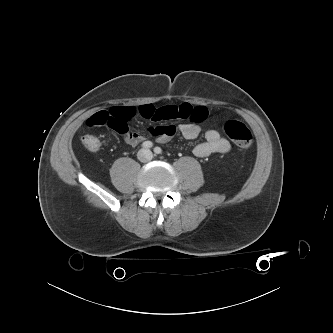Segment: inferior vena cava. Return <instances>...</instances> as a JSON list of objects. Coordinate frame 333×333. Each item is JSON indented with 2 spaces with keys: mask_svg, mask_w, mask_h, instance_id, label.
<instances>
[{
  "mask_svg": "<svg viewBox=\"0 0 333 333\" xmlns=\"http://www.w3.org/2000/svg\"><path fill=\"white\" fill-rule=\"evenodd\" d=\"M148 151V154L150 155L149 157H152V152L151 151H149V150H147ZM142 161H147V159H142Z\"/></svg>",
  "mask_w": 333,
  "mask_h": 333,
  "instance_id": "inferior-vena-cava-1",
  "label": "inferior vena cava"
}]
</instances>
